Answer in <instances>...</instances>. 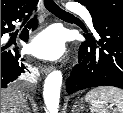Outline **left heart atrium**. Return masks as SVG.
<instances>
[{
    "label": "left heart atrium",
    "mask_w": 123,
    "mask_h": 113,
    "mask_svg": "<svg viewBox=\"0 0 123 113\" xmlns=\"http://www.w3.org/2000/svg\"><path fill=\"white\" fill-rule=\"evenodd\" d=\"M30 52L42 59L55 60L65 51V40L62 33L49 28L38 34L29 45Z\"/></svg>",
    "instance_id": "1"
}]
</instances>
